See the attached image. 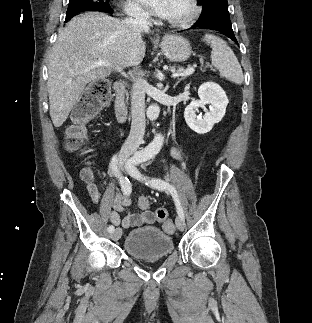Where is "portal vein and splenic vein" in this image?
Wrapping results in <instances>:
<instances>
[{
  "mask_svg": "<svg viewBox=\"0 0 312 323\" xmlns=\"http://www.w3.org/2000/svg\"><path fill=\"white\" fill-rule=\"evenodd\" d=\"M99 66H109L108 62H95L91 68H99ZM118 72L127 78L125 72H123L122 68H117ZM195 72L194 68H188V70H184V72H173L171 78H178V76H191Z\"/></svg>",
  "mask_w": 312,
  "mask_h": 323,
  "instance_id": "1",
  "label": "portal vein and splenic vein"
}]
</instances>
